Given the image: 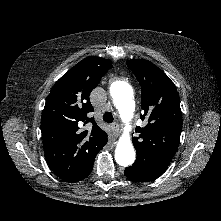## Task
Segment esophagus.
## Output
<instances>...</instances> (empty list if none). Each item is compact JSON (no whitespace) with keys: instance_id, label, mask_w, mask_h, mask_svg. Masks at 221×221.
Wrapping results in <instances>:
<instances>
[{"instance_id":"34e87169","label":"esophagus","mask_w":221,"mask_h":221,"mask_svg":"<svg viewBox=\"0 0 221 221\" xmlns=\"http://www.w3.org/2000/svg\"><path fill=\"white\" fill-rule=\"evenodd\" d=\"M111 128H112V134H113L112 141H115L116 138L119 136V124L113 123Z\"/></svg>"}]
</instances>
